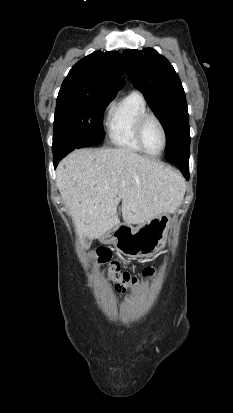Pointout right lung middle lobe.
Wrapping results in <instances>:
<instances>
[{
    "mask_svg": "<svg viewBox=\"0 0 233 413\" xmlns=\"http://www.w3.org/2000/svg\"><path fill=\"white\" fill-rule=\"evenodd\" d=\"M112 99L79 92H59L52 150L99 144L104 139L103 112Z\"/></svg>",
    "mask_w": 233,
    "mask_h": 413,
    "instance_id": "obj_1",
    "label": "right lung middle lobe"
}]
</instances>
